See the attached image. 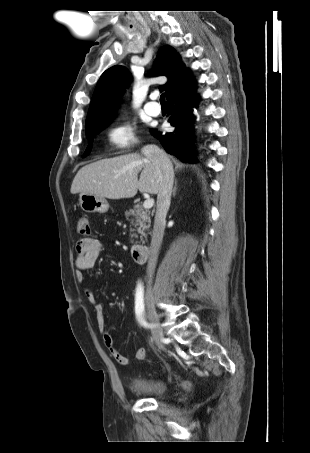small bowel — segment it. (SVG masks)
Masks as SVG:
<instances>
[{
	"label": "small bowel",
	"mask_w": 310,
	"mask_h": 453,
	"mask_svg": "<svg viewBox=\"0 0 310 453\" xmlns=\"http://www.w3.org/2000/svg\"><path fill=\"white\" fill-rule=\"evenodd\" d=\"M101 251L102 243L96 238L84 237L77 241L75 247V266L76 278L79 282L84 280V272L95 266ZM84 294L94 308L97 326L102 334L103 342L108 352L120 365H128L129 359L120 353L114 344L111 334L106 330L103 306L97 301L94 289L92 287H86L84 289ZM135 358L137 360H144L146 358V349L143 347L138 348L135 353Z\"/></svg>",
	"instance_id": "c3829d8e"
}]
</instances>
